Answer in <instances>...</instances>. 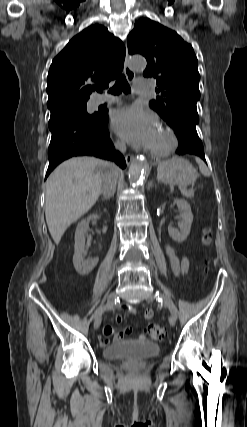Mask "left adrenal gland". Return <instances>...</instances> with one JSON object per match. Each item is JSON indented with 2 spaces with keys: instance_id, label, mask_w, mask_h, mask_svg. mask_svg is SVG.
Wrapping results in <instances>:
<instances>
[{
  "instance_id": "a2214340",
  "label": "left adrenal gland",
  "mask_w": 247,
  "mask_h": 427,
  "mask_svg": "<svg viewBox=\"0 0 247 427\" xmlns=\"http://www.w3.org/2000/svg\"><path fill=\"white\" fill-rule=\"evenodd\" d=\"M154 185H153V183L152 182H150L149 183V186H148V188L150 189L151 187H153Z\"/></svg>"
}]
</instances>
